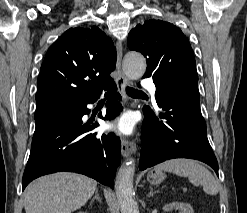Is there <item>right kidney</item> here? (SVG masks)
<instances>
[{"label": "right kidney", "instance_id": "1", "mask_svg": "<svg viewBox=\"0 0 247 213\" xmlns=\"http://www.w3.org/2000/svg\"><path fill=\"white\" fill-rule=\"evenodd\" d=\"M78 213H87V212H81V211H80V212H78Z\"/></svg>", "mask_w": 247, "mask_h": 213}]
</instances>
